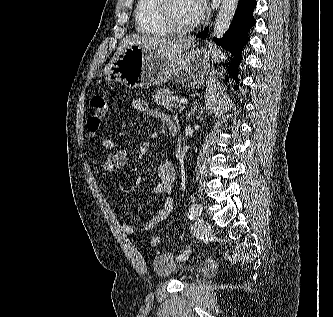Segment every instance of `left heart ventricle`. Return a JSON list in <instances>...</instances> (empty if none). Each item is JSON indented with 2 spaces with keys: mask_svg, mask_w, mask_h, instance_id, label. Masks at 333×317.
Returning a JSON list of instances; mask_svg holds the SVG:
<instances>
[{
  "mask_svg": "<svg viewBox=\"0 0 333 317\" xmlns=\"http://www.w3.org/2000/svg\"><path fill=\"white\" fill-rule=\"evenodd\" d=\"M170 17L179 27L187 28L195 24L191 0H172Z\"/></svg>",
  "mask_w": 333,
  "mask_h": 317,
  "instance_id": "1",
  "label": "left heart ventricle"
}]
</instances>
